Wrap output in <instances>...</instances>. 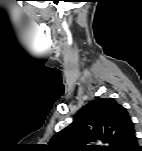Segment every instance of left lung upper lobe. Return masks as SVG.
Returning a JSON list of instances; mask_svg holds the SVG:
<instances>
[{
    "label": "left lung upper lobe",
    "instance_id": "1",
    "mask_svg": "<svg viewBox=\"0 0 142 151\" xmlns=\"http://www.w3.org/2000/svg\"><path fill=\"white\" fill-rule=\"evenodd\" d=\"M132 130L133 122L122 105L111 98H97L82 107L73 123L57 133L48 146L54 151H116ZM96 140L107 145H88Z\"/></svg>",
    "mask_w": 142,
    "mask_h": 151
}]
</instances>
